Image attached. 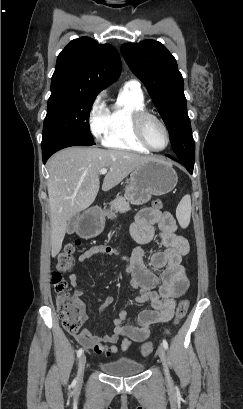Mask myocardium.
<instances>
[{"label": "myocardium", "mask_w": 243, "mask_h": 409, "mask_svg": "<svg viewBox=\"0 0 243 409\" xmlns=\"http://www.w3.org/2000/svg\"><path fill=\"white\" fill-rule=\"evenodd\" d=\"M149 118L154 119L155 121H157L161 125V127L163 128V130H164V132L166 134L167 142H166V145L161 149L154 148L149 143V141L147 140V138L145 136L144 123ZM133 129H134L135 135L138 138V140L146 148H148L150 151L162 152V151L166 150L168 148L169 144H170V132H169V129H168L166 123L162 120V118H160L159 116H157L154 113H151V112L147 111L146 109L137 111L134 114V116H133Z\"/></svg>", "instance_id": "obj_1"}]
</instances>
